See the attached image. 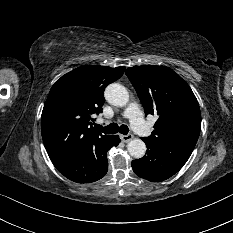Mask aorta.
I'll return each instance as SVG.
<instances>
[{"mask_svg":"<svg viewBox=\"0 0 233 233\" xmlns=\"http://www.w3.org/2000/svg\"><path fill=\"white\" fill-rule=\"evenodd\" d=\"M106 100L115 106L123 107L129 102L126 88L119 83H112L105 89ZM129 154L134 158H142L146 152V145L141 139H133L127 145Z\"/></svg>","mask_w":233,"mask_h":233,"instance_id":"1","label":"aorta"}]
</instances>
